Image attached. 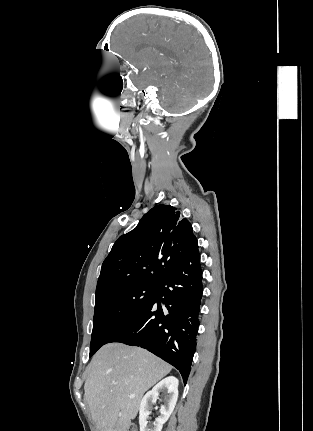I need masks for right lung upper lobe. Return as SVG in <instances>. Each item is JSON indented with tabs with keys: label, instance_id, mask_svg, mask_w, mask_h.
I'll list each match as a JSON object with an SVG mask.
<instances>
[{
	"label": "right lung upper lobe",
	"instance_id": "cb5924a9",
	"mask_svg": "<svg viewBox=\"0 0 313 431\" xmlns=\"http://www.w3.org/2000/svg\"><path fill=\"white\" fill-rule=\"evenodd\" d=\"M196 237L171 205H156L122 235L104 260L95 298L138 285H158L185 256Z\"/></svg>",
	"mask_w": 313,
	"mask_h": 431
}]
</instances>
